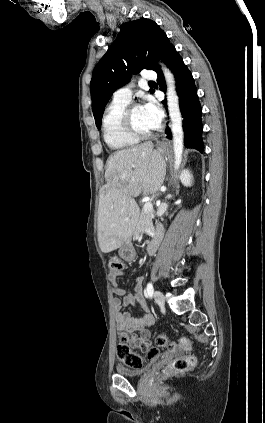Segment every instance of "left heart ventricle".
<instances>
[{
  "mask_svg": "<svg viewBox=\"0 0 265 423\" xmlns=\"http://www.w3.org/2000/svg\"><path fill=\"white\" fill-rule=\"evenodd\" d=\"M131 119L135 128L141 132L152 131L155 128L145 116L142 107L136 108L132 111Z\"/></svg>",
  "mask_w": 265,
  "mask_h": 423,
  "instance_id": "b2bd125f",
  "label": "left heart ventricle"
}]
</instances>
